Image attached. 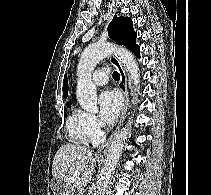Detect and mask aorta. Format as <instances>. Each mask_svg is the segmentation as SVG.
Masks as SVG:
<instances>
[{"label": "aorta", "instance_id": "aorta-1", "mask_svg": "<svg viewBox=\"0 0 211 195\" xmlns=\"http://www.w3.org/2000/svg\"><path fill=\"white\" fill-rule=\"evenodd\" d=\"M115 54L123 63L129 73V77L134 85V102L138 100L137 93L139 92L140 73L139 67L136 63L134 55L128 50L117 47L112 43H96L92 46L85 48L82 52L78 66H77V90L76 97L80 106L89 112L97 111V89L91 79L92 71L96 65L105 57ZM131 121L126 127L116 135L112 141L102 169L101 178L97 188V195H104L107 189V184L115 171L117 161L124 148L127 140L129 127Z\"/></svg>", "mask_w": 211, "mask_h": 195}]
</instances>
